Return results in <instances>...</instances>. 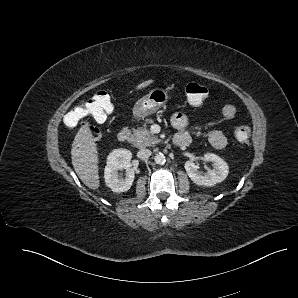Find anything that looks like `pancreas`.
Here are the masks:
<instances>
[{"label": "pancreas", "instance_id": "pancreas-1", "mask_svg": "<svg viewBox=\"0 0 298 298\" xmlns=\"http://www.w3.org/2000/svg\"><path fill=\"white\" fill-rule=\"evenodd\" d=\"M147 123H153L152 119H146L145 124L143 127H138L133 129V136H132V143L137 148H145L148 146H155L161 139L158 136L153 135L147 128Z\"/></svg>", "mask_w": 298, "mask_h": 298}]
</instances>
